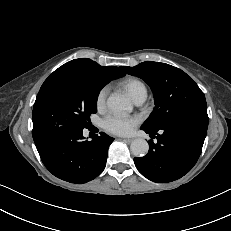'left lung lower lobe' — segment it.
<instances>
[{
	"instance_id": "1",
	"label": "left lung lower lobe",
	"mask_w": 231,
	"mask_h": 231,
	"mask_svg": "<svg viewBox=\"0 0 231 231\" xmlns=\"http://www.w3.org/2000/svg\"><path fill=\"white\" fill-rule=\"evenodd\" d=\"M208 115H186L159 128L141 126L149 141L146 156L134 158L138 171L151 181L167 183L187 174L196 164L206 137Z\"/></svg>"
}]
</instances>
